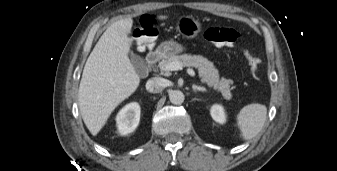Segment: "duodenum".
Instances as JSON below:
<instances>
[{
    "mask_svg": "<svg viewBox=\"0 0 337 171\" xmlns=\"http://www.w3.org/2000/svg\"><path fill=\"white\" fill-rule=\"evenodd\" d=\"M161 57L162 52L159 50H153L149 52L146 57L147 70L148 71L152 70L156 66L158 61L161 59Z\"/></svg>",
    "mask_w": 337,
    "mask_h": 171,
    "instance_id": "obj_1",
    "label": "duodenum"
}]
</instances>
